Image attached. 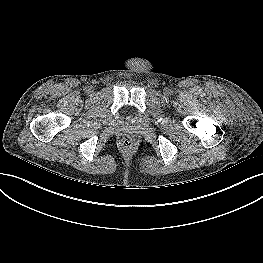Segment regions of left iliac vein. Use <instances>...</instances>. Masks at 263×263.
Here are the masks:
<instances>
[{"mask_svg": "<svg viewBox=\"0 0 263 263\" xmlns=\"http://www.w3.org/2000/svg\"><path fill=\"white\" fill-rule=\"evenodd\" d=\"M170 93H171V90H170V89H165V90H164V94H165V95H169Z\"/></svg>", "mask_w": 263, "mask_h": 263, "instance_id": "left-iliac-vein-1", "label": "left iliac vein"}]
</instances>
